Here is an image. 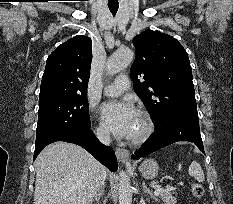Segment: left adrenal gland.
<instances>
[{"label":"left adrenal gland","instance_id":"left-adrenal-gland-1","mask_svg":"<svg viewBox=\"0 0 233 204\" xmlns=\"http://www.w3.org/2000/svg\"><path fill=\"white\" fill-rule=\"evenodd\" d=\"M142 186L144 193H148L152 199L158 201V198L148 189V187L145 185V182L142 183Z\"/></svg>","mask_w":233,"mask_h":204}]
</instances>
